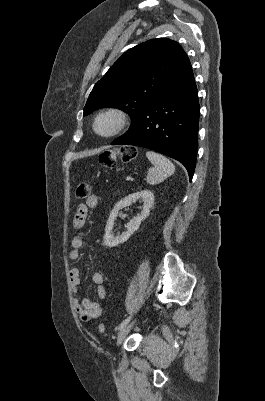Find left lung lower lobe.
Wrapping results in <instances>:
<instances>
[{
	"label": "left lung lower lobe",
	"mask_w": 265,
	"mask_h": 401,
	"mask_svg": "<svg viewBox=\"0 0 265 401\" xmlns=\"http://www.w3.org/2000/svg\"><path fill=\"white\" fill-rule=\"evenodd\" d=\"M199 102L189 64L112 145L149 148L181 162L193 177L197 156Z\"/></svg>",
	"instance_id": "obj_1"
}]
</instances>
